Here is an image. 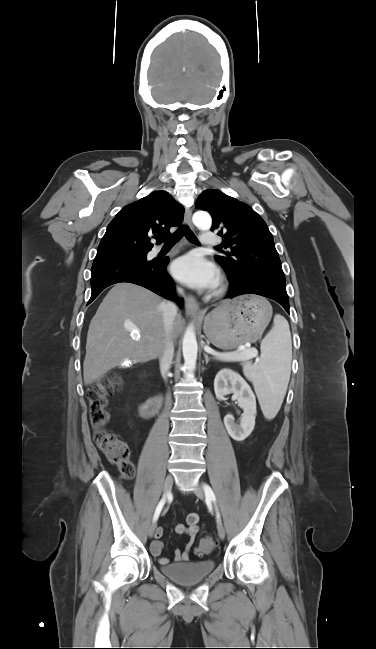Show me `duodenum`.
<instances>
[{"instance_id": "410a0bca", "label": "duodenum", "mask_w": 376, "mask_h": 649, "mask_svg": "<svg viewBox=\"0 0 376 649\" xmlns=\"http://www.w3.org/2000/svg\"><path fill=\"white\" fill-rule=\"evenodd\" d=\"M160 406V399L158 397H153L139 403L138 409L142 417L150 418L159 411Z\"/></svg>"}]
</instances>
